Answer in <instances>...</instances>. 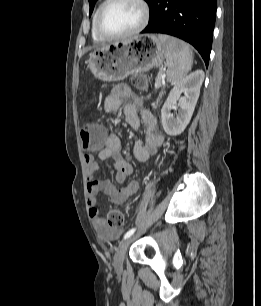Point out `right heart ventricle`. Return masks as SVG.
Masks as SVG:
<instances>
[{"mask_svg":"<svg viewBox=\"0 0 261 306\" xmlns=\"http://www.w3.org/2000/svg\"><path fill=\"white\" fill-rule=\"evenodd\" d=\"M103 4H101L95 11L94 13V16H93V21H92V38L96 41V42H102L104 41L103 38H101L97 33H96V30H95V20H96V16H97V13L100 9V7L102 6Z\"/></svg>","mask_w":261,"mask_h":306,"instance_id":"right-heart-ventricle-1","label":"right heart ventricle"}]
</instances>
